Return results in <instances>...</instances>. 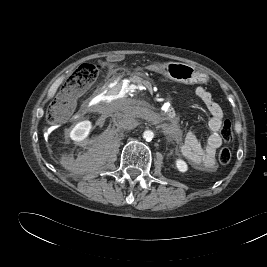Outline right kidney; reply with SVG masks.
<instances>
[{"label":"right kidney","mask_w":267,"mask_h":267,"mask_svg":"<svg viewBox=\"0 0 267 267\" xmlns=\"http://www.w3.org/2000/svg\"><path fill=\"white\" fill-rule=\"evenodd\" d=\"M92 128V123L89 120H84L77 123L70 132V138L74 141H82L88 135Z\"/></svg>","instance_id":"ca27d5eb"}]
</instances>
